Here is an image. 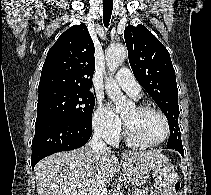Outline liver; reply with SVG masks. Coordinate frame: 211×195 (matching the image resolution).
<instances>
[{"label": "liver", "instance_id": "6515ba94", "mask_svg": "<svg viewBox=\"0 0 211 195\" xmlns=\"http://www.w3.org/2000/svg\"><path fill=\"white\" fill-rule=\"evenodd\" d=\"M165 157L158 150L126 151L122 154L125 175L133 170H146L155 159ZM118 167L111 151H102L96 160L89 146L50 155L35 166L38 195H91L97 176L110 182ZM144 184V183H143Z\"/></svg>", "mask_w": 211, "mask_h": 195}]
</instances>
